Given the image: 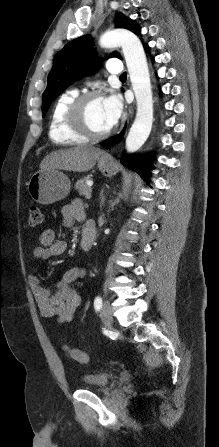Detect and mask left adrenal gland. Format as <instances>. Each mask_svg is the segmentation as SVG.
Here are the masks:
<instances>
[{"instance_id":"obj_1","label":"left adrenal gland","mask_w":219,"mask_h":447,"mask_svg":"<svg viewBox=\"0 0 219 447\" xmlns=\"http://www.w3.org/2000/svg\"><path fill=\"white\" fill-rule=\"evenodd\" d=\"M100 198H101V204H104L105 197L103 196V190L101 191Z\"/></svg>"}]
</instances>
